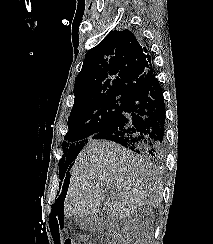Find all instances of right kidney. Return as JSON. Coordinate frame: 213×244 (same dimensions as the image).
I'll list each match as a JSON object with an SVG mask.
<instances>
[{"mask_svg": "<svg viewBox=\"0 0 213 244\" xmlns=\"http://www.w3.org/2000/svg\"><path fill=\"white\" fill-rule=\"evenodd\" d=\"M135 216L137 217V211H136V213H135Z\"/></svg>", "mask_w": 213, "mask_h": 244, "instance_id": "obj_1", "label": "right kidney"}]
</instances>
